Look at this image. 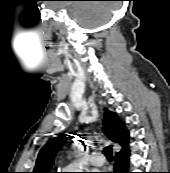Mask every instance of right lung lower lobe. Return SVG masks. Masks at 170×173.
Segmentation results:
<instances>
[{
  "label": "right lung lower lobe",
  "instance_id": "98d812e1",
  "mask_svg": "<svg viewBox=\"0 0 170 173\" xmlns=\"http://www.w3.org/2000/svg\"><path fill=\"white\" fill-rule=\"evenodd\" d=\"M116 161L114 164L113 173H130L129 168V148H123L119 153L116 154Z\"/></svg>",
  "mask_w": 170,
  "mask_h": 173
}]
</instances>
